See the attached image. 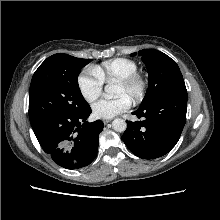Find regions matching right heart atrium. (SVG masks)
Wrapping results in <instances>:
<instances>
[{
	"instance_id": "obj_1",
	"label": "right heart atrium",
	"mask_w": 220,
	"mask_h": 220,
	"mask_svg": "<svg viewBox=\"0 0 220 220\" xmlns=\"http://www.w3.org/2000/svg\"><path fill=\"white\" fill-rule=\"evenodd\" d=\"M79 91L82 97L92 103L102 93L104 82L96 75L92 68L84 70L77 80Z\"/></svg>"
}]
</instances>
